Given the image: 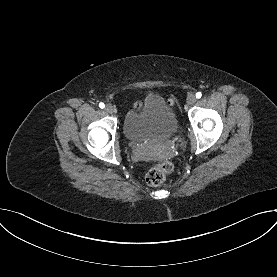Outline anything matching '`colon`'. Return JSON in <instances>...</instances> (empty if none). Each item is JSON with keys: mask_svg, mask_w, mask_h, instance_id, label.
Listing matches in <instances>:
<instances>
[{"mask_svg": "<svg viewBox=\"0 0 277 277\" xmlns=\"http://www.w3.org/2000/svg\"><path fill=\"white\" fill-rule=\"evenodd\" d=\"M172 170V163L170 161H162L152 167L146 174V182L150 186L161 185L168 173Z\"/></svg>", "mask_w": 277, "mask_h": 277, "instance_id": "1", "label": "colon"}]
</instances>
